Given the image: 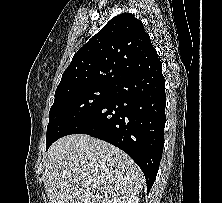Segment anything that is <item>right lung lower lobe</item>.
<instances>
[{
    "label": "right lung lower lobe",
    "instance_id": "98d812e1",
    "mask_svg": "<svg viewBox=\"0 0 222 203\" xmlns=\"http://www.w3.org/2000/svg\"><path fill=\"white\" fill-rule=\"evenodd\" d=\"M165 104V79L157 58L117 81L100 106L69 125L59 138L81 133L115 145L141 168L149 192L162 157Z\"/></svg>",
    "mask_w": 222,
    "mask_h": 203
}]
</instances>
